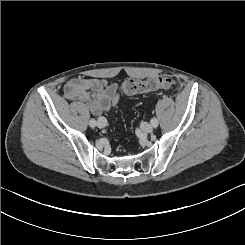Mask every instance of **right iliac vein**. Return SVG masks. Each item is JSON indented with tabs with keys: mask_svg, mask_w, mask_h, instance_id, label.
Returning <instances> with one entry per match:
<instances>
[{
	"mask_svg": "<svg viewBox=\"0 0 245 245\" xmlns=\"http://www.w3.org/2000/svg\"><path fill=\"white\" fill-rule=\"evenodd\" d=\"M107 125V120L104 117H99L97 120V126L99 128H104Z\"/></svg>",
	"mask_w": 245,
	"mask_h": 245,
	"instance_id": "63e3f726",
	"label": "right iliac vein"
}]
</instances>
